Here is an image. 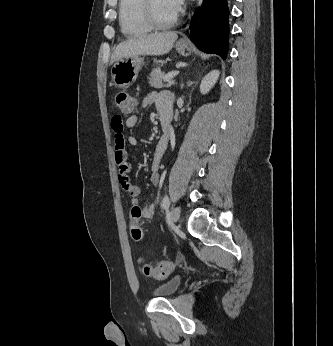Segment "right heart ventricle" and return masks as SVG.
Returning a JSON list of instances; mask_svg holds the SVG:
<instances>
[{"label":"right heart ventricle","instance_id":"right-heart-ventricle-1","mask_svg":"<svg viewBox=\"0 0 333 346\" xmlns=\"http://www.w3.org/2000/svg\"><path fill=\"white\" fill-rule=\"evenodd\" d=\"M118 12L123 35L135 37L151 30L144 13L143 0H119Z\"/></svg>","mask_w":333,"mask_h":346}]
</instances>
